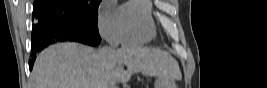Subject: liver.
<instances>
[{
    "label": "liver",
    "mask_w": 267,
    "mask_h": 88,
    "mask_svg": "<svg viewBox=\"0 0 267 88\" xmlns=\"http://www.w3.org/2000/svg\"><path fill=\"white\" fill-rule=\"evenodd\" d=\"M137 72L171 81L181 76L177 61L159 49L131 46L96 51L65 42L51 45L37 56L33 88H115L117 81L126 82Z\"/></svg>",
    "instance_id": "1"
}]
</instances>
